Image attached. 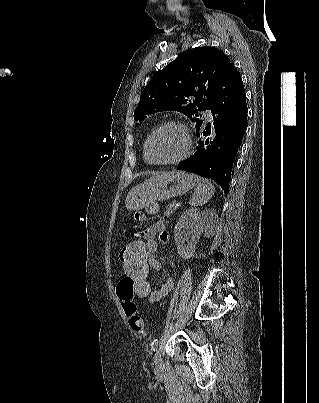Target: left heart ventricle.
<instances>
[{
	"label": "left heart ventricle",
	"mask_w": 319,
	"mask_h": 403,
	"mask_svg": "<svg viewBox=\"0 0 319 403\" xmlns=\"http://www.w3.org/2000/svg\"><path fill=\"white\" fill-rule=\"evenodd\" d=\"M185 147L183 132L173 126L161 129L150 144V157L153 160L163 161L176 158Z\"/></svg>",
	"instance_id": "b2bd125f"
}]
</instances>
